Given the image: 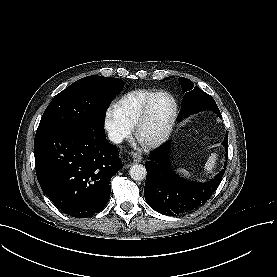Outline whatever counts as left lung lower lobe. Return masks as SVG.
<instances>
[{"mask_svg": "<svg viewBox=\"0 0 277 277\" xmlns=\"http://www.w3.org/2000/svg\"><path fill=\"white\" fill-rule=\"evenodd\" d=\"M223 145L228 148L227 133ZM169 149L170 141H167L150 153V161L145 163L147 177L144 196L147 204L155 211L175 216L200 207L211 197L224 175L226 163L225 168L211 181L195 183L179 177L172 170ZM226 153L228 155V149Z\"/></svg>", "mask_w": 277, "mask_h": 277, "instance_id": "obj_1", "label": "left lung lower lobe"}]
</instances>
